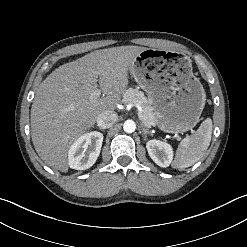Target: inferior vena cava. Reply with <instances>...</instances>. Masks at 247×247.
Segmentation results:
<instances>
[{
  "instance_id": "obj_1",
  "label": "inferior vena cava",
  "mask_w": 247,
  "mask_h": 247,
  "mask_svg": "<svg viewBox=\"0 0 247 247\" xmlns=\"http://www.w3.org/2000/svg\"><path fill=\"white\" fill-rule=\"evenodd\" d=\"M118 115L114 111H105L97 118V125L100 128L107 129L113 126L117 121Z\"/></svg>"
}]
</instances>
